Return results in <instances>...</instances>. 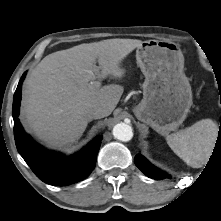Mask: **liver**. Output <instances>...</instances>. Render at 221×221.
Instances as JSON below:
<instances>
[{"instance_id":"6515ba94","label":"liver","mask_w":221,"mask_h":221,"mask_svg":"<svg viewBox=\"0 0 221 221\" xmlns=\"http://www.w3.org/2000/svg\"><path fill=\"white\" fill-rule=\"evenodd\" d=\"M142 43L137 39H107L44 57L24 85L20 119L25 128L53 148L74 143L90 121L85 111L98 107L99 118L109 116L124 91L117 84L97 87L92 80L122 77L123 59Z\"/></svg>"}]
</instances>
